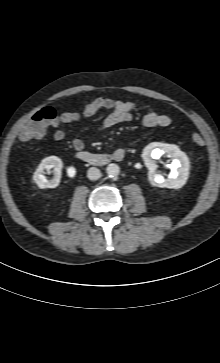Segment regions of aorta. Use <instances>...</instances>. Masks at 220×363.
Instances as JSON below:
<instances>
[{
  "label": "aorta",
  "instance_id": "1",
  "mask_svg": "<svg viewBox=\"0 0 220 363\" xmlns=\"http://www.w3.org/2000/svg\"><path fill=\"white\" fill-rule=\"evenodd\" d=\"M106 172L110 177H116L120 172V168L117 164L112 163L107 166Z\"/></svg>",
  "mask_w": 220,
  "mask_h": 363
}]
</instances>
